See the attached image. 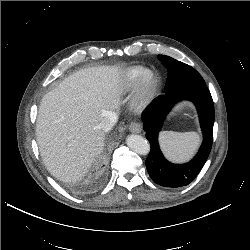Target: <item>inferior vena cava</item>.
Returning a JSON list of instances; mask_svg holds the SVG:
<instances>
[{
	"label": "inferior vena cava",
	"mask_w": 250,
	"mask_h": 250,
	"mask_svg": "<svg viewBox=\"0 0 250 250\" xmlns=\"http://www.w3.org/2000/svg\"><path fill=\"white\" fill-rule=\"evenodd\" d=\"M118 116L115 112H111L99 124V128L104 132H108L117 122Z\"/></svg>",
	"instance_id": "inferior-vena-cava-1"
}]
</instances>
